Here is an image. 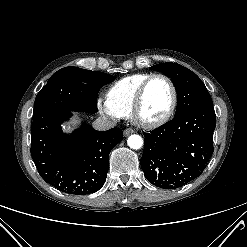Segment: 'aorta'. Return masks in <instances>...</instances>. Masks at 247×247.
Segmentation results:
<instances>
[{"label": "aorta", "instance_id": "aorta-1", "mask_svg": "<svg viewBox=\"0 0 247 247\" xmlns=\"http://www.w3.org/2000/svg\"><path fill=\"white\" fill-rule=\"evenodd\" d=\"M127 144L130 148L137 150V149H140L142 147L143 139L141 136H139L137 134H133V135L128 137Z\"/></svg>", "mask_w": 247, "mask_h": 247}]
</instances>
